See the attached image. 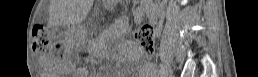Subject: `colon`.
Wrapping results in <instances>:
<instances>
[{
    "label": "colon",
    "mask_w": 258,
    "mask_h": 77,
    "mask_svg": "<svg viewBox=\"0 0 258 77\" xmlns=\"http://www.w3.org/2000/svg\"><path fill=\"white\" fill-rule=\"evenodd\" d=\"M138 46L146 53L154 50L155 33L150 25L141 26L134 34ZM52 40V32L42 23L34 26V46L38 51L45 50Z\"/></svg>",
    "instance_id": "obj_1"
}]
</instances>
